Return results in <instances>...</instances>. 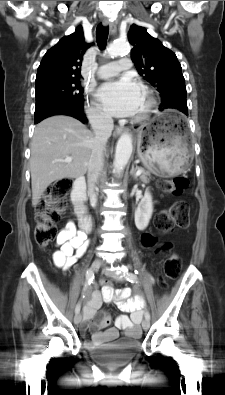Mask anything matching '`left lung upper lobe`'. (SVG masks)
I'll return each instance as SVG.
<instances>
[{
  "label": "left lung upper lobe",
  "mask_w": 225,
  "mask_h": 395,
  "mask_svg": "<svg viewBox=\"0 0 225 395\" xmlns=\"http://www.w3.org/2000/svg\"><path fill=\"white\" fill-rule=\"evenodd\" d=\"M128 40L133 45L131 58L137 71L160 93L159 109L174 108L188 115L185 79L175 53L135 24L130 27Z\"/></svg>",
  "instance_id": "obj_1"
}]
</instances>
